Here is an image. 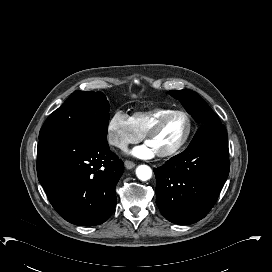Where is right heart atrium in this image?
Segmentation results:
<instances>
[{
  "mask_svg": "<svg viewBox=\"0 0 272 272\" xmlns=\"http://www.w3.org/2000/svg\"><path fill=\"white\" fill-rule=\"evenodd\" d=\"M106 132L109 144L119 148L137 142L141 138V133L133 120L120 110L108 120Z\"/></svg>",
  "mask_w": 272,
  "mask_h": 272,
  "instance_id": "1",
  "label": "right heart atrium"
}]
</instances>
